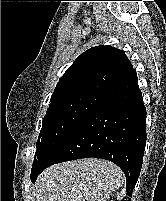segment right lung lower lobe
I'll list each match as a JSON object with an SVG mask.
<instances>
[{
    "label": "right lung lower lobe",
    "instance_id": "1",
    "mask_svg": "<svg viewBox=\"0 0 166 201\" xmlns=\"http://www.w3.org/2000/svg\"><path fill=\"white\" fill-rule=\"evenodd\" d=\"M137 80L133 70L108 92L98 107L31 176L32 182L50 165L95 157L121 168L126 176L127 195L132 196L146 146V109Z\"/></svg>",
    "mask_w": 166,
    "mask_h": 201
}]
</instances>
